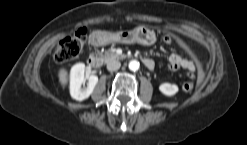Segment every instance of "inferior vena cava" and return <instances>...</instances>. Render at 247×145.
Instances as JSON below:
<instances>
[{"label":"inferior vena cava","instance_id":"602c4592","mask_svg":"<svg viewBox=\"0 0 247 145\" xmlns=\"http://www.w3.org/2000/svg\"><path fill=\"white\" fill-rule=\"evenodd\" d=\"M120 66H121V63L118 60H110L107 63V69L109 71H116L120 68Z\"/></svg>","mask_w":247,"mask_h":145}]
</instances>
